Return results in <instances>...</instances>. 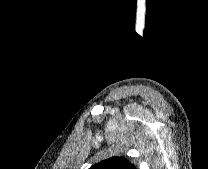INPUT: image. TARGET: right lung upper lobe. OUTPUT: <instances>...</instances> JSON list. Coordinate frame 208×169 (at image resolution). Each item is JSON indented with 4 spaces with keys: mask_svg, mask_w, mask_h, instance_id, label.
<instances>
[{
    "mask_svg": "<svg viewBox=\"0 0 208 169\" xmlns=\"http://www.w3.org/2000/svg\"><path fill=\"white\" fill-rule=\"evenodd\" d=\"M90 169H136V167L126 158L114 156L93 165Z\"/></svg>",
    "mask_w": 208,
    "mask_h": 169,
    "instance_id": "right-lung-upper-lobe-1",
    "label": "right lung upper lobe"
}]
</instances>
